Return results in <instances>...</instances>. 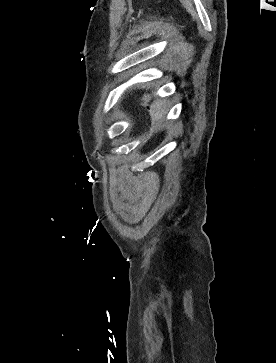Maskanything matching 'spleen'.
Masks as SVG:
<instances>
[{
  "instance_id": "1",
  "label": "spleen",
  "mask_w": 276,
  "mask_h": 363,
  "mask_svg": "<svg viewBox=\"0 0 276 363\" xmlns=\"http://www.w3.org/2000/svg\"><path fill=\"white\" fill-rule=\"evenodd\" d=\"M167 113L166 109V101L164 100H157L152 106H151V118L153 124L156 126L161 125V123L164 120V117Z\"/></svg>"
}]
</instances>
